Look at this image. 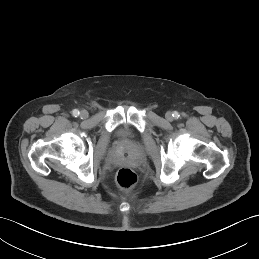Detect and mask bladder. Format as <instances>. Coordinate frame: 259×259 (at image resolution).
<instances>
[{"label": "bladder", "instance_id": "1", "mask_svg": "<svg viewBox=\"0 0 259 259\" xmlns=\"http://www.w3.org/2000/svg\"><path fill=\"white\" fill-rule=\"evenodd\" d=\"M128 130L126 128H122L120 130V139L125 140L127 138Z\"/></svg>", "mask_w": 259, "mask_h": 259}]
</instances>
